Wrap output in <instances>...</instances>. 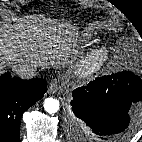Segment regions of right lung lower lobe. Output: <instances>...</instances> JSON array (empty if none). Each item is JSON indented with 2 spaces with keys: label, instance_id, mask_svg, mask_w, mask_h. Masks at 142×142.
I'll use <instances>...</instances> for the list:
<instances>
[{
  "label": "right lung lower lobe",
  "instance_id": "obj_1",
  "mask_svg": "<svg viewBox=\"0 0 142 142\" xmlns=\"http://www.w3.org/2000/svg\"><path fill=\"white\" fill-rule=\"evenodd\" d=\"M42 78L21 80L10 73L0 76V142H18L23 113L46 92Z\"/></svg>",
  "mask_w": 142,
  "mask_h": 142
}]
</instances>
